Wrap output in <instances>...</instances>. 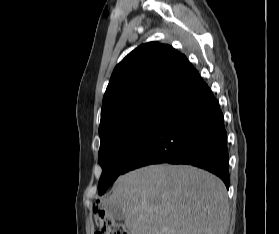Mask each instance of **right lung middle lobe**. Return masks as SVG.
<instances>
[{
	"mask_svg": "<svg viewBox=\"0 0 279 234\" xmlns=\"http://www.w3.org/2000/svg\"><path fill=\"white\" fill-rule=\"evenodd\" d=\"M168 107L150 105L121 113L99 127V164L102 174L98 192L106 189L123 173V168L138 146L158 123Z\"/></svg>",
	"mask_w": 279,
	"mask_h": 234,
	"instance_id": "dd1d6c3e",
	"label": "right lung middle lobe"
}]
</instances>
